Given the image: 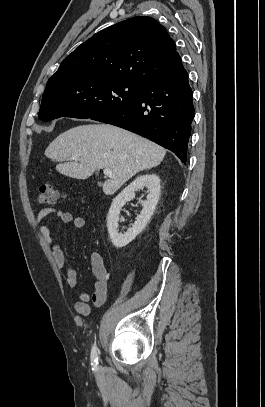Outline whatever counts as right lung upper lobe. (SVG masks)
Masks as SVG:
<instances>
[{"label":"right lung upper lobe","instance_id":"right-lung-upper-lobe-1","mask_svg":"<svg viewBox=\"0 0 265 407\" xmlns=\"http://www.w3.org/2000/svg\"><path fill=\"white\" fill-rule=\"evenodd\" d=\"M179 57L165 27L151 17L138 16L105 28L79 45L48 83L99 77L144 86L172 71Z\"/></svg>","mask_w":265,"mask_h":407}]
</instances>
